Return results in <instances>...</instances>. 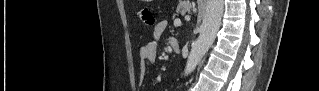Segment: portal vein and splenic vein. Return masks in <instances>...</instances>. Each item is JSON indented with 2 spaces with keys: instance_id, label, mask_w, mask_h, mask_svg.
I'll use <instances>...</instances> for the list:
<instances>
[{
  "instance_id": "portal-vein-and-splenic-vein-1",
  "label": "portal vein and splenic vein",
  "mask_w": 319,
  "mask_h": 91,
  "mask_svg": "<svg viewBox=\"0 0 319 91\" xmlns=\"http://www.w3.org/2000/svg\"><path fill=\"white\" fill-rule=\"evenodd\" d=\"M174 24L177 25V26H180L181 25V21L179 19H176L174 21Z\"/></svg>"
}]
</instances>
